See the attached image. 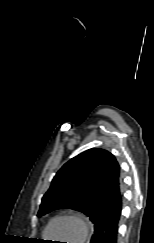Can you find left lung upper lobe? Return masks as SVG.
Segmentation results:
<instances>
[{
  "label": "left lung upper lobe",
  "mask_w": 154,
  "mask_h": 243,
  "mask_svg": "<svg viewBox=\"0 0 154 243\" xmlns=\"http://www.w3.org/2000/svg\"><path fill=\"white\" fill-rule=\"evenodd\" d=\"M109 154L106 150L93 148L68 161L43 196L38 216L68 208L81 211L95 224L103 209L91 200L89 190Z\"/></svg>",
  "instance_id": "5c2ea615"
}]
</instances>
